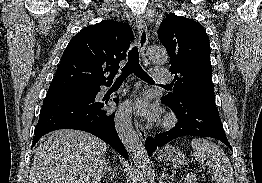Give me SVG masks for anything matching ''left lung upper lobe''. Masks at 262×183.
Returning a JSON list of instances; mask_svg holds the SVG:
<instances>
[{"label":"left lung upper lobe","instance_id":"left-lung-upper-lobe-1","mask_svg":"<svg viewBox=\"0 0 262 183\" xmlns=\"http://www.w3.org/2000/svg\"><path fill=\"white\" fill-rule=\"evenodd\" d=\"M159 40L170 56L169 71L175 74L172 92L161 98L170 108L216 107L209 39L201 24L176 15L161 23Z\"/></svg>","mask_w":262,"mask_h":183}]
</instances>
